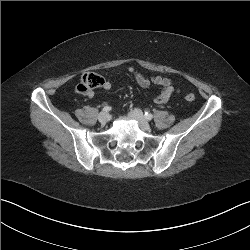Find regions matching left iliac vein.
Instances as JSON below:
<instances>
[{
	"instance_id": "4c4485c4",
	"label": "left iliac vein",
	"mask_w": 250,
	"mask_h": 250,
	"mask_svg": "<svg viewBox=\"0 0 250 250\" xmlns=\"http://www.w3.org/2000/svg\"><path fill=\"white\" fill-rule=\"evenodd\" d=\"M129 116L138 122L139 127L143 131H150V129H151L150 124L146 120L145 116L143 115V113L140 109H134V110L130 111Z\"/></svg>"
}]
</instances>
